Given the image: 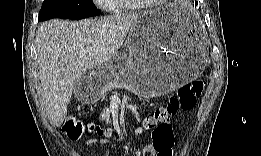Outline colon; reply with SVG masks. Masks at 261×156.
I'll use <instances>...</instances> for the list:
<instances>
[{"label":"colon","mask_w":261,"mask_h":156,"mask_svg":"<svg viewBox=\"0 0 261 156\" xmlns=\"http://www.w3.org/2000/svg\"><path fill=\"white\" fill-rule=\"evenodd\" d=\"M205 86L206 82L202 79L184 85L176 95L169 98L166 104L155 108L144 119L142 128L153 130V143L161 156L169 155L174 143L172 128L168 124L170 118L180 111L191 110ZM88 130L102 138H110L114 134L112 128L101 123L91 124ZM64 132L70 138H79L84 134L85 127L80 121L71 120Z\"/></svg>","instance_id":"colon-1"}]
</instances>
